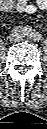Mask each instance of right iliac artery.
<instances>
[{"instance_id": "right-iliac-artery-1", "label": "right iliac artery", "mask_w": 47, "mask_h": 129, "mask_svg": "<svg viewBox=\"0 0 47 129\" xmlns=\"http://www.w3.org/2000/svg\"><path fill=\"white\" fill-rule=\"evenodd\" d=\"M26 30H28V32H30L29 28L26 27Z\"/></svg>"}]
</instances>
